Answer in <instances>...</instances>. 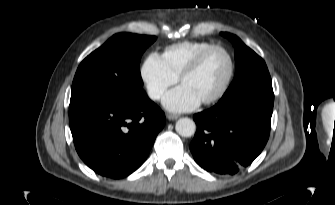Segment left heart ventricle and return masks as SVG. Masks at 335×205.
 <instances>
[{
	"mask_svg": "<svg viewBox=\"0 0 335 205\" xmlns=\"http://www.w3.org/2000/svg\"><path fill=\"white\" fill-rule=\"evenodd\" d=\"M229 71V60L224 52L208 54L200 68L183 81L200 101L213 96L224 83Z\"/></svg>",
	"mask_w": 335,
	"mask_h": 205,
	"instance_id": "obj_1",
	"label": "left heart ventricle"
}]
</instances>
